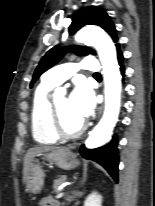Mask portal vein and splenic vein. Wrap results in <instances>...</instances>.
Instances as JSON below:
<instances>
[{
    "label": "portal vein and splenic vein",
    "mask_w": 155,
    "mask_h": 206,
    "mask_svg": "<svg viewBox=\"0 0 155 206\" xmlns=\"http://www.w3.org/2000/svg\"><path fill=\"white\" fill-rule=\"evenodd\" d=\"M63 195H64V193H63V192H60V193H58V194L56 195V198L59 199V198H61Z\"/></svg>",
    "instance_id": "18ae733b"
}]
</instances>
